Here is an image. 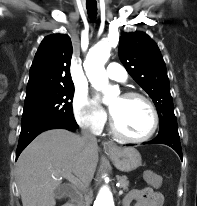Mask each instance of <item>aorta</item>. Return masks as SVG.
Segmentation results:
<instances>
[{
  "label": "aorta",
  "instance_id": "762f6f07",
  "mask_svg": "<svg viewBox=\"0 0 197 206\" xmlns=\"http://www.w3.org/2000/svg\"><path fill=\"white\" fill-rule=\"evenodd\" d=\"M110 57V46L107 40H102L92 47L84 61V69L92 86L109 95L108 77L104 68ZM93 206H115L112 192L108 186H102L94 200Z\"/></svg>",
  "mask_w": 197,
  "mask_h": 206
}]
</instances>
